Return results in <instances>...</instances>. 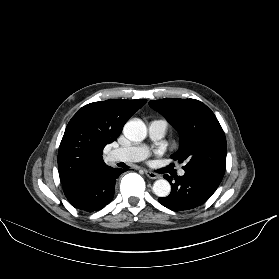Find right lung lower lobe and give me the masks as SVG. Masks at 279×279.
Returning a JSON list of instances; mask_svg holds the SVG:
<instances>
[{"mask_svg":"<svg viewBox=\"0 0 279 279\" xmlns=\"http://www.w3.org/2000/svg\"><path fill=\"white\" fill-rule=\"evenodd\" d=\"M124 171L119 168L108 169L64 187V194L75 208L87 212L98 211L112 200L116 179Z\"/></svg>","mask_w":279,"mask_h":279,"instance_id":"obj_1","label":"right lung lower lobe"}]
</instances>
